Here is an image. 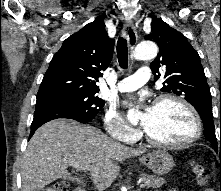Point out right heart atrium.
<instances>
[{
    "label": "right heart atrium",
    "instance_id": "d8ad5b80",
    "mask_svg": "<svg viewBox=\"0 0 221 191\" xmlns=\"http://www.w3.org/2000/svg\"><path fill=\"white\" fill-rule=\"evenodd\" d=\"M103 123L106 132L118 141L134 143L139 138L138 131L127 126L112 108L106 110Z\"/></svg>",
    "mask_w": 221,
    "mask_h": 191
}]
</instances>
